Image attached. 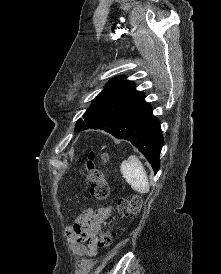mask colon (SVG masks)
<instances>
[{"mask_svg":"<svg viewBox=\"0 0 221 274\" xmlns=\"http://www.w3.org/2000/svg\"><path fill=\"white\" fill-rule=\"evenodd\" d=\"M103 160H107V156H103ZM84 171L90 182V194L97 199H105L109 194V185L101 170L96 168L92 162V154L84 165ZM141 198L139 196H131L129 198H121L117 201V213L120 217H128L137 214L141 209ZM115 233L108 228L101 231L98 246L108 247L113 243Z\"/></svg>","mask_w":221,"mask_h":274,"instance_id":"colon-1","label":"colon"}]
</instances>
